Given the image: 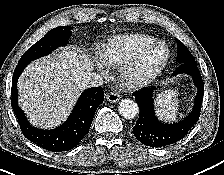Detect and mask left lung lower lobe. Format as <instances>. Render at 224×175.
Wrapping results in <instances>:
<instances>
[{
    "instance_id": "1",
    "label": "left lung lower lobe",
    "mask_w": 224,
    "mask_h": 175,
    "mask_svg": "<svg viewBox=\"0 0 224 175\" xmlns=\"http://www.w3.org/2000/svg\"><path fill=\"white\" fill-rule=\"evenodd\" d=\"M181 73H186L192 77L198 92L192 112L178 123L165 124L155 116L153 104L155 88L146 87L133 93L140 109L138 121L133 127V134L146 146L164 147L176 143L188 133L199 119L204 93V83L201 74L194 63L180 64L172 76Z\"/></svg>"
}]
</instances>
